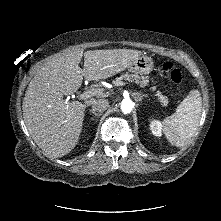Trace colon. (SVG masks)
Segmentation results:
<instances>
[{
  "label": "colon",
  "mask_w": 221,
  "mask_h": 221,
  "mask_svg": "<svg viewBox=\"0 0 221 221\" xmlns=\"http://www.w3.org/2000/svg\"><path fill=\"white\" fill-rule=\"evenodd\" d=\"M162 69L170 75L171 80L178 87V90H181L182 84L188 79L187 75L181 70L175 68L169 61L162 64Z\"/></svg>",
  "instance_id": "obj_1"
}]
</instances>
